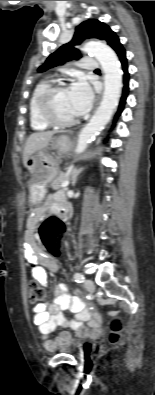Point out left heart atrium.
Segmentation results:
<instances>
[{"label":"left heart atrium","mask_w":155,"mask_h":395,"mask_svg":"<svg viewBox=\"0 0 155 395\" xmlns=\"http://www.w3.org/2000/svg\"><path fill=\"white\" fill-rule=\"evenodd\" d=\"M69 99L75 116H80L89 111L93 94L92 90L83 78L75 80L69 88Z\"/></svg>","instance_id":"obj_1"}]
</instances>
